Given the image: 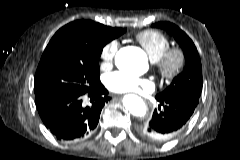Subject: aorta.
<instances>
[{"label":"aorta","instance_id":"obj_1","mask_svg":"<svg viewBox=\"0 0 240 160\" xmlns=\"http://www.w3.org/2000/svg\"><path fill=\"white\" fill-rule=\"evenodd\" d=\"M115 63L118 68H126L131 71H142L146 67V55L136 47L120 49L115 56ZM123 105L135 116L144 117L146 106L143 100L137 95L128 94L123 98Z\"/></svg>","mask_w":240,"mask_h":160}]
</instances>
